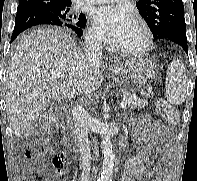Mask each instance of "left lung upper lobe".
<instances>
[{"label": "left lung upper lobe", "instance_id": "left-lung-upper-lobe-1", "mask_svg": "<svg viewBox=\"0 0 197 181\" xmlns=\"http://www.w3.org/2000/svg\"><path fill=\"white\" fill-rule=\"evenodd\" d=\"M136 6L154 40L167 39L171 31L186 29L182 0H138Z\"/></svg>", "mask_w": 197, "mask_h": 181}]
</instances>
